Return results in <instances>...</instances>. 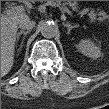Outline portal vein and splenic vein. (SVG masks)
<instances>
[{
	"instance_id": "obj_1",
	"label": "portal vein and splenic vein",
	"mask_w": 109,
	"mask_h": 109,
	"mask_svg": "<svg viewBox=\"0 0 109 109\" xmlns=\"http://www.w3.org/2000/svg\"><path fill=\"white\" fill-rule=\"evenodd\" d=\"M51 6H56L58 7V5H56L54 2L50 3ZM63 12H67L69 15L73 16V13L68 9V8H62ZM26 9L23 6H16L10 9L6 10V14L7 15H14V14H23L25 13ZM61 18H64V15L61 16Z\"/></svg>"
}]
</instances>
